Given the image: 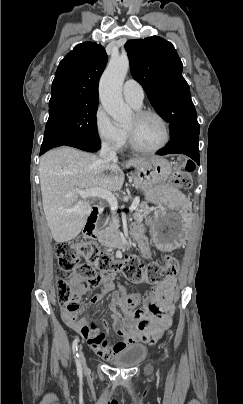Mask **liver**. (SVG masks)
I'll list each match as a JSON object with an SVG mask.
<instances>
[{
  "instance_id": "6515ba94",
  "label": "liver",
  "mask_w": 243,
  "mask_h": 404,
  "mask_svg": "<svg viewBox=\"0 0 243 404\" xmlns=\"http://www.w3.org/2000/svg\"><path fill=\"white\" fill-rule=\"evenodd\" d=\"M145 162H149V158H133L125 168ZM105 170H110L109 176H105ZM39 176L47 226L59 244L74 240L92 212L88 202L79 200L78 190L102 188L119 192L124 184V174L117 160L106 162L75 148H56L41 156Z\"/></svg>"
}]
</instances>
